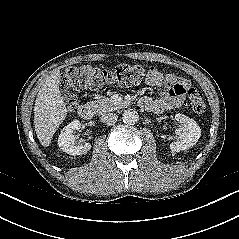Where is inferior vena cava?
Masks as SVG:
<instances>
[{
  "instance_id": "602c4592",
  "label": "inferior vena cava",
  "mask_w": 239,
  "mask_h": 239,
  "mask_svg": "<svg viewBox=\"0 0 239 239\" xmlns=\"http://www.w3.org/2000/svg\"><path fill=\"white\" fill-rule=\"evenodd\" d=\"M118 116L114 113H103L101 121L107 125H113L116 123Z\"/></svg>"
}]
</instances>
